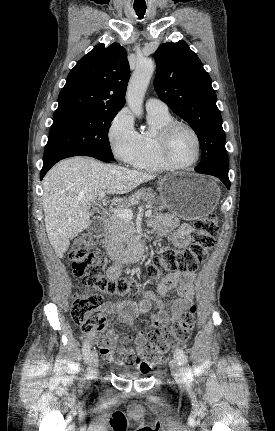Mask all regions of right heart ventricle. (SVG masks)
I'll return each instance as SVG.
<instances>
[{"label":"right heart ventricle","instance_id":"obj_1","mask_svg":"<svg viewBox=\"0 0 275 431\" xmlns=\"http://www.w3.org/2000/svg\"><path fill=\"white\" fill-rule=\"evenodd\" d=\"M174 119L169 112H148V122L150 129L140 134L141 149L140 153L132 163L138 169L160 172L169 168L160 158L158 152V134L168 123Z\"/></svg>","mask_w":275,"mask_h":431}]
</instances>
